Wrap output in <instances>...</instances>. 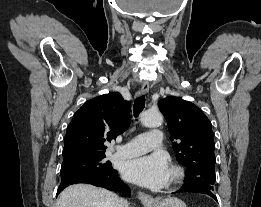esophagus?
I'll return each instance as SVG.
<instances>
[{
  "instance_id": "34e87169",
  "label": "esophagus",
  "mask_w": 261,
  "mask_h": 207,
  "mask_svg": "<svg viewBox=\"0 0 261 207\" xmlns=\"http://www.w3.org/2000/svg\"><path fill=\"white\" fill-rule=\"evenodd\" d=\"M148 91H149V83L143 82L140 92L142 94H146V93H148ZM138 198L145 206H150L155 202L154 198L151 195L143 193V192L138 193Z\"/></svg>"
}]
</instances>
